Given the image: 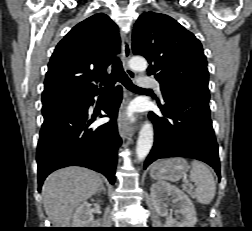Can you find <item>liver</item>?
<instances>
[{
  "label": "liver",
  "mask_w": 252,
  "mask_h": 231,
  "mask_svg": "<svg viewBox=\"0 0 252 231\" xmlns=\"http://www.w3.org/2000/svg\"><path fill=\"white\" fill-rule=\"evenodd\" d=\"M101 177L81 167L60 169L47 177L42 187L45 212L54 228L70 226L73 211L100 191Z\"/></svg>",
  "instance_id": "6515ba94"
}]
</instances>
